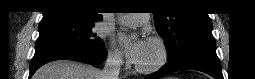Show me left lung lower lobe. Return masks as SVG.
Here are the masks:
<instances>
[{"label":"left lung lower lobe","instance_id":"0a47b994","mask_svg":"<svg viewBox=\"0 0 255 79\" xmlns=\"http://www.w3.org/2000/svg\"><path fill=\"white\" fill-rule=\"evenodd\" d=\"M180 70H199L215 79H223L215 44L194 46L179 58L168 61L162 69L147 76L146 79H159Z\"/></svg>","mask_w":255,"mask_h":79}]
</instances>
